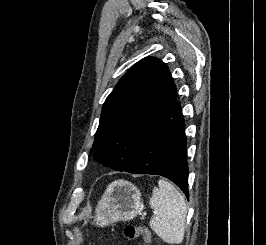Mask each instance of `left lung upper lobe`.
<instances>
[{
	"instance_id": "left-lung-upper-lobe-1",
	"label": "left lung upper lobe",
	"mask_w": 266,
	"mask_h": 245,
	"mask_svg": "<svg viewBox=\"0 0 266 245\" xmlns=\"http://www.w3.org/2000/svg\"><path fill=\"white\" fill-rule=\"evenodd\" d=\"M175 101L167 65L152 57L140 60L107 97L90 153L99 163L125 171L141 138Z\"/></svg>"
}]
</instances>
